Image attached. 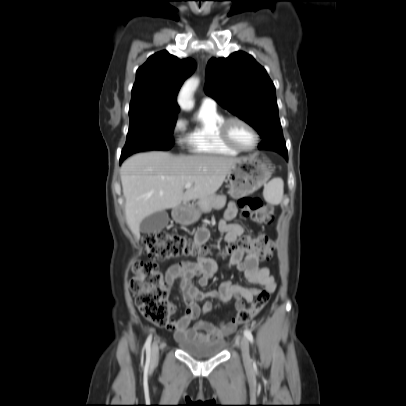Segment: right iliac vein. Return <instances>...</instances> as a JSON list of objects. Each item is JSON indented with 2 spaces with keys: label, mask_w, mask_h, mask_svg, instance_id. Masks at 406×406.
I'll return each instance as SVG.
<instances>
[{
  "label": "right iliac vein",
  "mask_w": 406,
  "mask_h": 406,
  "mask_svg": "<svg viewBox=\"0 0 406 406\" xmlns=\"http://www.w3.org/2000/svg\"><path fill=\"white\" fill-rule=\"evenodd\" d=\"M159 357V345L158 342L155 341L152 345V350H151V362H156Z\"/></svg>",
  "instance_id": "1"
}]
</instances>
